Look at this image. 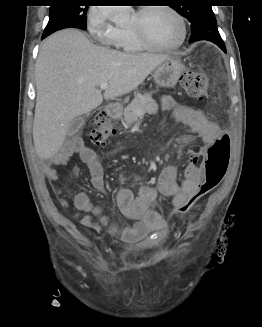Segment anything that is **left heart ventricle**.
<instances>
[{
  "instance_id": "left-heart-ventricle-1",
  "label": "left heart ventricle",
  "mask_w": 262,
  "mask_h": 327,
  "mask_svg": "<svg viewBox=\"0 0 262 327\" xmlns=\"http://www.w3.org/2000/svg\"><path fill=\"white\" fill-rule=\"evenodd\" d=\"M140 24L146 34L157 44L171 45L176 43L181 36L179 21L169 11L161 8L147 11L138 18L134 13L129 26Z\"/></svg>"
}]
</instances>
